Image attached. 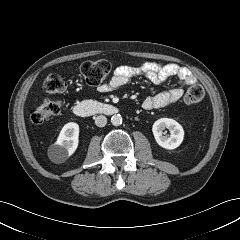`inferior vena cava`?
Returning a JSON list of instances; mask_svg holds the SVG:
<instances>
[{"label": "inferior vena cava", "instance_id": "inferior-vena-cava-1", "mask_svg": "<svg viewBox=\"0 0 240 240\" xmlns=\"http://www.w3.org/2000/svg\"><path fill=\"white\" fill-rule=\"evenodd\" d=\"M95 124L98 127H104L107 124V118L103 115H99L95 118Z\"/></svg>", "mask_w": 240, "mask_h": 240}]
</instances>
